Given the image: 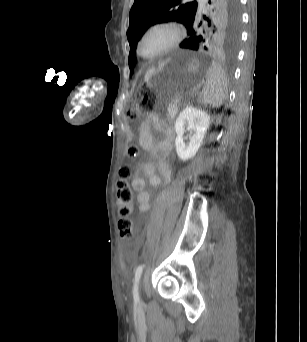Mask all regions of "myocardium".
<instances>
[{
    "label": "myocardium",
    "instance_id": "1",
    "mask_svg": "<svg viewBox=\"0 0 307 342\" xmlns=\"http://www.w3.org/2000/svg\"><path fill=\"white\" fill-rule=\"evenodd\" d=\"M156 26H165V27L170 28L173 33V37L171 41L169 42V44L166 47H164L161 51L156 53L155 55L150 56V57L144 56L142 53V49H141L142 41L146 33L150 29ZM182 40H183V32L181 30L180 25L175 20L170 19V18H158L149 22L142 30L138 39V43H137V51L140 57H142L145 60H148V61L156 60L158 58L165 56L166 54L170 53L175 48H177L181 44Z\"/></svg>",
    "mask_w": 307,
    "mask_h": 342
}]
</instances>
